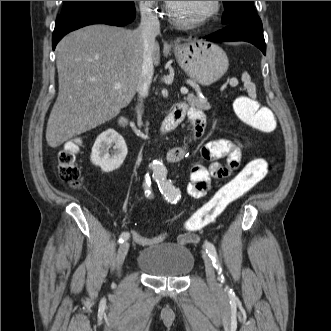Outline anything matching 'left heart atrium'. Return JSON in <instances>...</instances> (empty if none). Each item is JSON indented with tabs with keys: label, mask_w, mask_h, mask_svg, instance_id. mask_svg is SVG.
<instances>
[{
	"label": "left heart atrium",
	"mask_w": 331,
	"mask_h": 331,
	"mask_svg": "<svg viewBox=\"0 0 331 331\" xmlns=\"http://www.w3.org/2000/svg\"><path fill=\"white\" fill-rule=\"evenodd\" d=\"M168 3H173L174 1H167Z\"/></svg>",
	"instance_id": "obj_1"
}]
</instances>
